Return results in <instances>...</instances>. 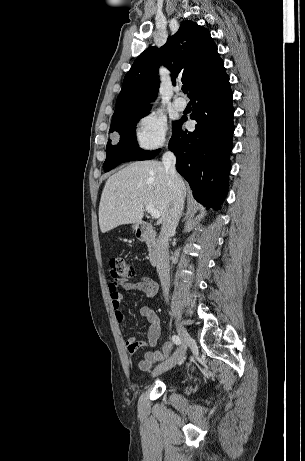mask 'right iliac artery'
<instances>
[{
	"instance_id": "right-iliac-artery-1",
	"label": "right iliac artery",
	"mask_w": 305,
	"mask_h": 461,
	"mask_svg": "<svg viewBox=\"0 0 305 461\" xmlns=\"http://www.w3.org/2000/svg\"><path fill=\"white\" fill-rule=\"evenodd\" d=\"M171 339L176 345H179L181 343V340H180L179 336H177V335H173Z\"/></svg>"
}]
</instances>
